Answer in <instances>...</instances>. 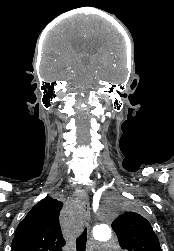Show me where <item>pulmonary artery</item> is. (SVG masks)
<instances>
[{"mask_svg":"<svg viewBox=\"0 0 174 251\" xmlns=\"http://www.w3.org/2000/svg\"><path fill=\"white\" fill-rule=\"evenodd\" d=\"M109 246V244H103V247H108Z\"/></svg>","mask_w":174,"mask_h":251,"instance_id":"pulmonary-artery-1","label":"pulmonary artery"}]
</instances>
